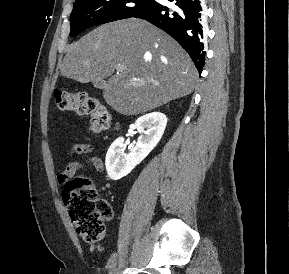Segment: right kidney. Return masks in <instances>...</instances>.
<instances>
[{"label": "right kidney", "instance_id": "ca27d5eb", "mask_svg": "<svg viewBox=\"0 0 289 274\" xmlns=\"http://www.w3.org/2000/svg\"><path fill=\"white\" fill-rule=\"evenodd\" d=\"M167 125V117L161 112H152L135 121V129L141 134L135 147L125 153L124 138H117L106 154L105 166L112 180L128 175L158 144Z\"/></svg>", "mask_w": 289, "mask_h": 274}]
</instances>
